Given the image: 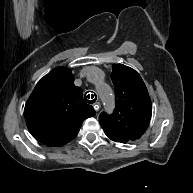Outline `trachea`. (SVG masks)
I'll list each match as a JSON object with an SVG mask.
<instances>
[{
	"instance_id": "3493384b",
	"label": "trachea",
	"mask_w": 193,
	"mask_h": 193,
	"mask_svg": "<svg viewBox=\"0 0 193 193\" xmlns=\"http://www.w3.org/2000/svg\"><path fill=\"white\" fill-rule=\"evenodd\" d=\"M88 93V92H87ZM94 98V99H93ZM88 99H92V100H88ZM97 97H96V94H95V97L93 94H88L87 96H85V101L89 104H93L95 101H96Z\"/></svg>"
}]
</instances>
